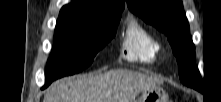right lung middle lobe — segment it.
<instances>
[{"instance_id": "1", "label": "right lung middle lobe", "mask_w": 221, "mask_h": 102, "mask_svg": "<svg viewBox=\"0 0 221 102\" xmlns=\"http://www.w3.org/2000/svg\"><path fill=\"white\" fill-rule=\"evenodd\" d=\"M121 14L113 17L59 16L54 46L45 71V87L53 80L81 72L116 34Z\"/></svg>"}]
</instances>
